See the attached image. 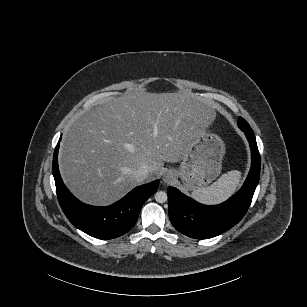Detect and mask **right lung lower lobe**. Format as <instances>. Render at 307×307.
I'll list each match as a JSON object with an SVG mask.
<instances>
[{
  "label": "right lung lower lobe",
  "mask_w": 307,
  "mask_h": 307,
  "mask_svg": "<svg viewBox=\"0 0 307 307\" xmlns=\"http://www.w3.org/2000/svg\"><path fill=\"white\" fill-rule=\"evenodd\" d=\"M58 149L59 143L53 155L52 170L58 200L69 221L81 231L98 239H113L127 233L135 225L145 201L156 192L159 181L136 187L110 206L86 205L75 198L64 185L58 169Z\"/></svg>",
  "instance_id": "right-lung-lower-lobe-1"
}]
</instances>
